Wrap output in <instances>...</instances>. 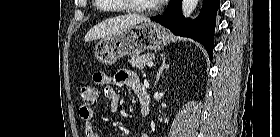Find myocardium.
Segmentation results:
<instances>
[{
    "label": "myocardium",
    "mask_w": 280,
    "mask_h": 137,
    "mask_svg": "<svg viewBox=\"0 0 280 137\" xmlns=\"http://www.w3.org/2000/svg\"><path fill=\"white\" fill-rule=\"evenodd\" d=\"M128 3L126 4V7L131 10V11H136V12H142V13H151L154 12L158 9V5H152L147 8L140 7L135 4H131V0H126Z\"/></svg>",
    "instance_id": "myocardium-1"
}]
</instances>
